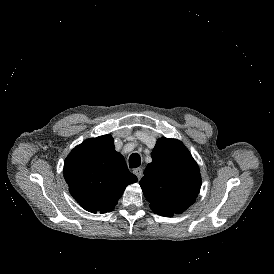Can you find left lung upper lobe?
<instances>
[{
  "instance_id": "obj_1",
  "label": "left lung upper lobe",
  "mask_w": 274,
  "mask_h": 274,
  "mask_svg": "<svg viewBox=\"0 0 274 274\" xmlns=\"http://www.w3.org/2000/svg\"><path fill=\"white\" fill-rule=\"evenodd\" d=\"M151 156L140 181L150 208L162 216L182 213L200 191L197 163L182 142L165 137L157 140Z\"/></svg>"
}]
</instances>
